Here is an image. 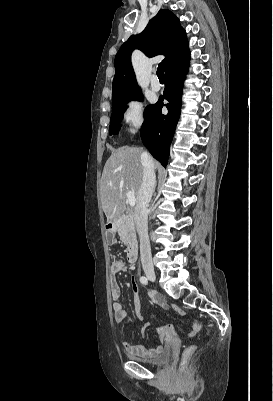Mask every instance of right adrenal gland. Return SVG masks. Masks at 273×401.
Masks as SVG:
<instances>
[{
  "mask_svg": "<svg viewBox=\"0 0 273 401\" xmlns=\"http://www.w3.org/2000/svg\"><path fill=\"white\" fill-rule=\"evenodd\" d=\"M156 186H157V180H156V184H154L153 192H155Z\"/></svg>",
  "mask_w": 273,
  "mask_h": 401,
  "instance_id": "right-adrenal-gland-1",
  "label": "right adrenal gland"
}]
</instances>
